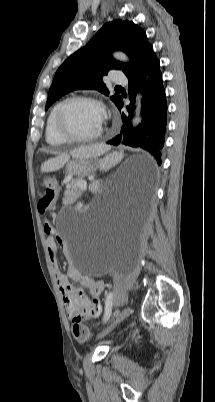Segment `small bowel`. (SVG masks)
Instances as JSON below:
<instances>
[{"label":"small bowel","instance_id":"c3829d8e","mask_svg":"<svg viewBox=\"0 0 215 402\" xmlns=\"http://www.w3.org/2000/svg\"><path fill=\"white\" fill-rule=\"evenodd\" d=\"M44 232L47 235L46 245L48 255L54 267L58 287L71 320L97 318L102 313L100 297L105 290L102 280H95L83 275L77 268L71 266L67 275L63 274L58 266V248L66 250V243L56 229L46 221ZM77 282L80 288L75 289L69 280ZM84 290L90 294L88 297Z\"/></svg>","mask_w":215,"mask_h":402}]
</instances>
